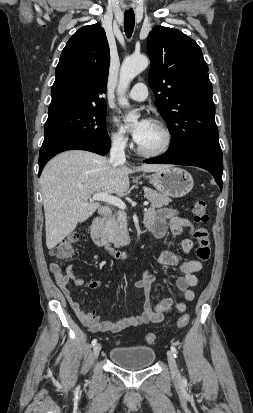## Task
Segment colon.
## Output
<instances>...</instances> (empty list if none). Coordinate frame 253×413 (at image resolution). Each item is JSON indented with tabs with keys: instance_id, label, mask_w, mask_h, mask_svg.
<instances>
[{
	"instance_id": "5ec220e1",
	"label": "colon",
	"mask_w": 253,
	"mask_h": 413,
	"mask_svg": "<svg viewBox=\"0 0 253 413\" xmlns=\"http://www.w3.org/2000/svg\"><path fill=\"white\" fill-rule=\"evenodd\" d=\"M192 211L194 220L198 224V227L194 232V237L198 242L196 254L201 261L207 262L211 257V242L209 231L206 228V224L209 221L206 202L202 199L197 200L194 203ZM79 238L80 234L78 232L70 233L50 250V254L58 259L69 258L72 254L73 245L78 242ZM188 322L189 315L184 314L178 319L176 326L177 328H183ZM155 340L156 336L153 333L146 336V341L149 344H153Z\"/></svg>"
}]
</instances>
